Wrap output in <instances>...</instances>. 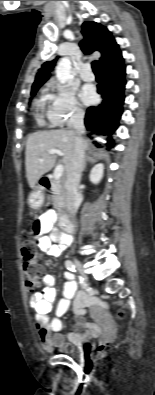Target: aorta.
Returning <instances> with one entry per match:
<instances>
[{"instance_id":"aorta-1","label":"aorta","mask_w":155,"mask_h":395,"mask_svg":"<svg viewBox=\"0 0 155 395\" xmlns=\"http://www.w3.org/2000/svg\"><path fill=\"white\" fill-rule=\"evenodd\" d=\"M56 77L60 83H66L71 78V61L68 57L62 58L55 69Z\"/></svg>"}]
</instances>
